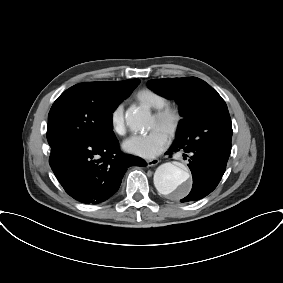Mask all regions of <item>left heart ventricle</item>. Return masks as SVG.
I'll return each mask as SVG.
<instances>
[{"label": "left heart ventricle", "mask_w": 283, "mask_h": 283, "mask_svg": "<svg viewBox=\"0 0 283 283\" xmlns=\"http://www.w3.org/2000/svg\"><path fill=\"white\" fill-rule=\"evenodd\" d=\"M150 129H154V128H158L162 131H164L166 133V130H167V126L166 124L162 123V122H159L157 119H155L153 116L151 118V121H150V126H149Z\"/></svg>", "instance_id": "obj_1"}]
</instances>
